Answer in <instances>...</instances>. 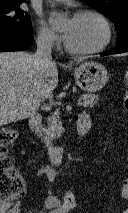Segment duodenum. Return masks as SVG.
I'll return each instance as SVG.
<instances>
[{"label":"duodenum","instance_id":"duodenum-1","mask_svg":"<svg viewBox=\"0 0 128 213\" xmlns=\"http://www.w3.org/2000/svg\"><path fill=\"white\" fill-rule=\"evenodd\" d=\"M29 125L33 133L45 144L50 161L53 163H60L63 159L64 148L53 144V138L43 127L41 115L34 114L31 116ZM90 126V117L87 114H81L77 123V140L79 142L85 139Z\"/></svg>","mask_w":128,"mask_h":213}]
</instances>
